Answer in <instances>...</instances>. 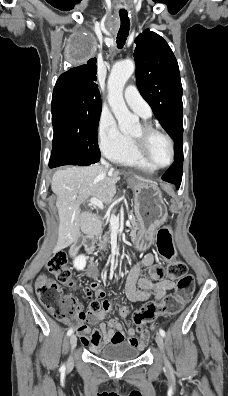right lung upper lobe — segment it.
<instances>
[{
  "label": "right lung upper lobe",
  "instance_id": "1",
  "mask_svg": "<svg viewBox=\"0 0 228 396\" xmlns=\"http://www.w3.org/2000/svg\"><path fill=\"white\" fill-rule=\"evenodd\" d=\"M97 60L90 58L83 65L74 67L61 74L55 87L73 90L79 96L90 100H101L97 80Z\"/></svg>",
  "mask_w": 228,
  "mask_h": 396
}]
</instances>
